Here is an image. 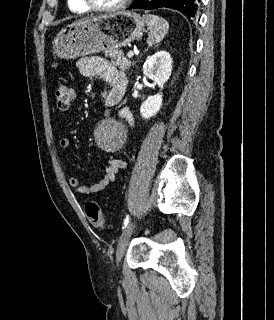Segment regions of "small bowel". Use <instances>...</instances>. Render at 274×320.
Wrapping results in <instances>:
<instances>
[{
  "label": "small bowel",
  "instance_id": "obj_1",
  "mask_svg": "<svg viewBox=\"0 0 274 320\" xmlns=\"http://www.w3.org/2000/svg\"><path fill=\"white\" fill-rule=\"evenodd\" d=\"M78 69L83 76L94 77L99 76L109 85L105 94V104L107 106L117 105L124 97L127 79L123 72L111 65L105 59L98 56H85L78 60ZM120 116L128 124L132 119L127 109H122ZM61 148L69 147V140L62 138L59 141ZM126 167V162L118 158H110L103 169L100 178L93 184H82L77 177L68 176L67 183L72 188L74 194L91 195L104 191L107 186L112 183L118 171Z\"/></svg>",
  "mask_w": 274,
  "mask_h": 320
}]
</instances>
